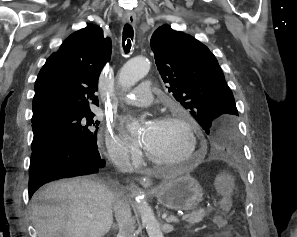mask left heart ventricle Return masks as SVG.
Wrapping results in <instances>:
<instances>
[{"instance_id":"obj_1","label":"left heart ventricle","mask_w":297,"mask_h":237,"mask_svg":"<svg viewBox=\"0 0 297 237\" xmlns=\"http://www.w3.org/2000/svg\"><path fill=\"white\" fill-rule=\"evenodd\" d=\"M146 149L159 159H178L188 152V136L180 125L158 121Z\"/></svg>"}]
</instances>
